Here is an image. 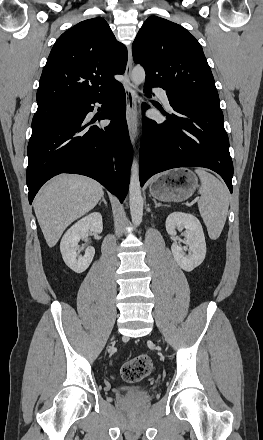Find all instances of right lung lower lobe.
Instances as JSON below:
<instances>
[{
	"instance_id": "obj_1",
	"label": "right lung lower lobe",
	"mask_w": 263,
	"mask_h": 440,
	"mask_svg": "<svg viewBox=\"0 0 263 440\" xmlns=\"http://www.w3.org/2000/svg\"><path fill=\"white\" fill-rule=\"evenodd\" d=\"M101 103L106 127L89 126L86 115ZM70 114L32 133L28 144L26 182L31 204L41 186L60 173H76L100 182L120 202L126 197L132 149L123 86L70 102Z\"/></svg>"
}]
</instances>
